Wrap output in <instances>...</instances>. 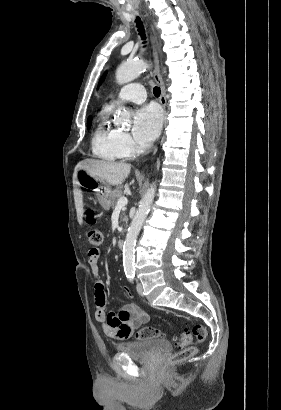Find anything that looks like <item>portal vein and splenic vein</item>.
Returning <instances> with one entry per match:
<instances>
[{"mask_svg": "<svg viewBox=\"0 0 281 410\" xmlns=\"http://www.w3.org/2000/svg\"><path fill=\"white\" fill-rule=\"evenodd\" d=\"M127 203H128V199L126 197H121L119 198L116 207H120V208L124 207L127 205Z\"/></svg>", "mask_w": 281, "mask_h": 410, "instance_id": "18ae733b", "label": "portal vein and splenic vein"}]
</instances>
